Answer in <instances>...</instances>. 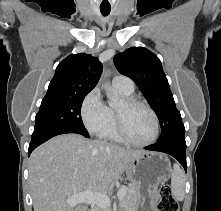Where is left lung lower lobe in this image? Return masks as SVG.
<instances>
[{"mask_svg":"<svg viewBox=\"0 0 221 211\" xmlns=\"http://www.w3.org/2000/svg\"><path fill=\"white\" fill-rule=\"evenodd\" d=\"M150 151H158L167 153L176 158L181 165L187 170L186 163V142L185 137H174L165 141L157 142L154 145L145 148Z\"/></svg>","mask_w":221,"mask_h":211,"instance_id":"left-lung-lower-lobe-1","label":"left lung lower lobe"}]
</instances>
